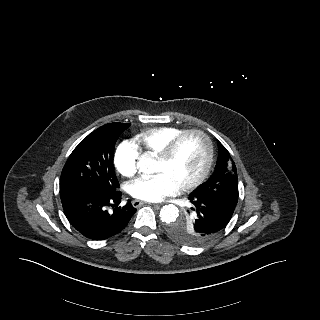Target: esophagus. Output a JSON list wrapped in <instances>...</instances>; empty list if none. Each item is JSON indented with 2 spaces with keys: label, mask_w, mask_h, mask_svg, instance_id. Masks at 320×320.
<instances>
[{
  "label": "esophagus",
  "mask_w": 320,
  "mask_h": 320,
  "mask_svg": "<svg viewBox=\"0 0 320 320\" xmlns=\"http://www.w3.org/2000/svg\"><path fill=\"white\" fill-rule=\"evenodd\" d=\"M145 203H146V202L139 201V200H134V201L132 202V205H133V207L138 208V207H140L141 205H143V204H145ZM154 206H157V205L154 204Z\"/></svg>",
  "instance_id": "34e87169"
}]
</instances>
